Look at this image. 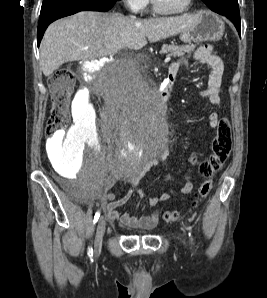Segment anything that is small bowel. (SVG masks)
Wrapping results in <instances>:
<instances>
[{
  "instance_id": "obj_1",
  "label": "small bowel",
  "mask_w": 267,
  "mask_h": 298,
  "mask_svg": "<svg viewBox=\"0 0 267 298\" xmlns=\"http://www.w3.org/2000/svg\"><path fill=\"white\" fill-rule=\"evenodd\" d=\"M194 59L207 65L210 69V73L207 78L205 89L201 90L199 95L201 98L206 99L210 104L214 106H219L221 104V84L222 76L224 72V65L221 58L213 52L212 47L202 46L196 50L194 53ZM185 64L184 60H179L173 62L170 65V69L175 71L177 74L178 70L182 65ZM221 118L215 112L210 113L207 116V123L212 128H217ZM75 136L72 134H65L63 132H58L51 141L53 143H59L63 140L73 143ZM150 166H148L149 168ZM142 177V172H136L126 176L131 188L127 194L117 199L115 195L109 192L107 189L100 190L98 192L90 193V198L99 200L103 210L106 212L107 217L110 221H120L121 225L132 229H143L151 230L156 227L159 221V210H154L151 214L136 217L129 213L121 214L118 208L123 206L128 202L131 196L136 192L142 198H144L148 205L151 207L156 206L159 203L166 202L174 194H188L193 189V184L190 180V175L188 173L181 174L185 183L178 191L163 192L158 196H148L144 190L139 188L140 179ZM170 177H174L173 174Z\"/></svg>"
}]
</instances>
